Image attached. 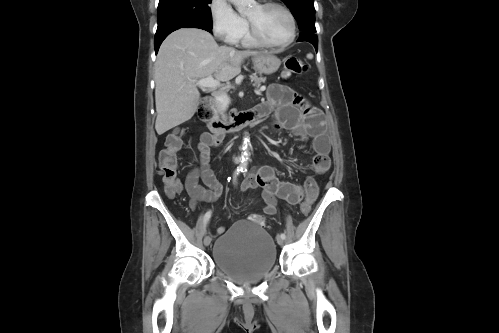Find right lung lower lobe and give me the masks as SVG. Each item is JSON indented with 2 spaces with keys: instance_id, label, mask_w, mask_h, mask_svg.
<instances>
[{
  "instance_id": "right-lung-lower-lobe-1",
  "label": "right lung lower lobe",
  "mask_w": 499,
  "mask_h": 333,
  "mask_svg": "<svg viewBox=\"0 0 499 333\" xmlns=\"http://www.w3.org/2000/svg\"><path fill=\"white\" fill-rule=\"evenodd\" d=\"M200 28L204 29L210 33H212V26H209L207 24L203 23H184V24H177V25H172L169 27H166L160 31L156 32L155 35V41H154V46H155V52H158V49L162 43V41L173 31L180 29V28Z\"/></svg>"
}]
</instances>
